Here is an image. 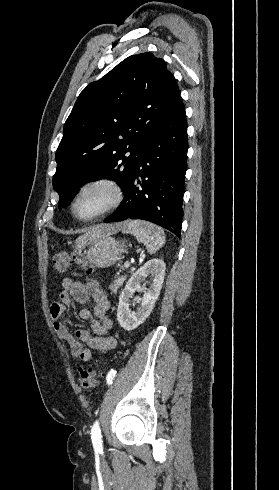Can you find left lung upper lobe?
Returning <instances> with one entry per match:
<instances>
[{"label": "left lung upper lobe", "mask_w": 279, "mask_h": 490, "mask_svg": "<svg viewBox=\"0 0 279 490\" xmlns=\"http://www.w3.org/2000/svg\"><path fill=\"white\" fill-rule=\"evenodd\" d=\"M182 101L163 59L130 56L79 95L56 151L59 209L83 184L107 176L125 190L153 129Z\"/></svg>", "instance_id": "5c2ea615"}]
</instances>
